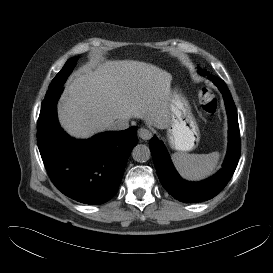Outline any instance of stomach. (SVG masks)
<instances>
[{
    "label": "stomach",
    "instance_id": "1",
    "mask_svg": "<svg viewBox=\"0 0 273 273\" xmlns=\"http://www.w3.org/2000/svg\"><path fill=\"white\" fill-rule=\"evenodd\" d=\"M168 108V138L171 147L179 151L192 150L199 142L200 132L188 100L178 89L171 92Z\"/></svg>",
    "mask_w": 273,
    "mask_h": 273
}]
</instances>
